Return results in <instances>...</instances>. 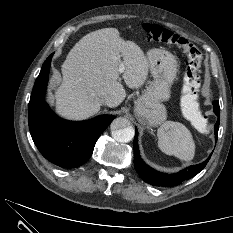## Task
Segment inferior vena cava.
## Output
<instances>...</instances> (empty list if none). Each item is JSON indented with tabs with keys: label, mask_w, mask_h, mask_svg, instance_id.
I'll use <instances>...</instances> for the list:
<instances>
[{
	"label": "inferior vena cava",
	"mask_w": 233,
	"mask_h": 233,
	"mask_svg": "<svg viewBox=\"0 0 233 233\" xmlns=\"http://www.w3.org/2000/svg\"><path fill=\"white\" fill-rule=\"evenodd\" d=\"M102 104L107 105L108 107H112L113 100L110 96H105L104 98H102Z\"/></svg>",
	"instance_id": "602c4592"
}]
</instances>
